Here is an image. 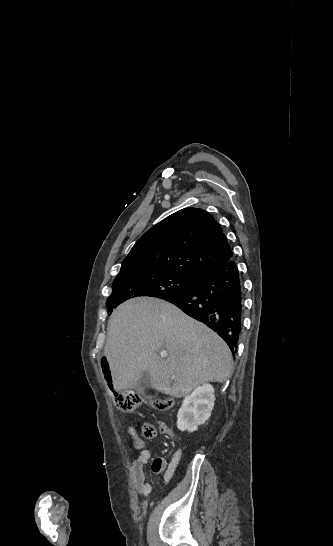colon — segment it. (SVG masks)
<instances>
[{
    "mask_svg": "<svg viewBox=\"0 0 333 546\" xmlns=\"http://www.w3.org/2000/svg\"><path fill=\"white\" fill-rule=\"evenodd\" d=\"M101 369L104 372V378L105 385L107 386V389L111 391V394L114 396V403L117 406L118 409L121 411H133L138 406H140L143 402L147 403L150 407L153 409L159 410V411H165L170 409L173 406V400L171 398H160V399H151L146 400L142 396L131 393V392H118L115 388V385L113 384V380L111 378V373L108 372V361L106 359L103 360L101 364ZM142 434L146 439H153L156 437L157 431L153 424L149 422H145L142 425ZM133 428H129L130 434L133 432Z\"/></svg>",
    "mask_w": 333,
    "mask_h": 546,
    "instance_id": "obj_1",
    "label": "colon"
}]
</instances>
